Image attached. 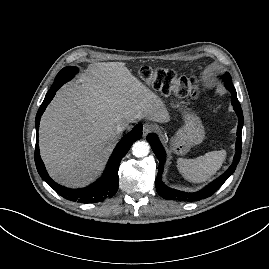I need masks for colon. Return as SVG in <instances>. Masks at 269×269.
Instances as JSON below:
<instances>
[{
  "label": "colon",
  "mask_w": 269,
  "mask_h": 269,
  "mask_svg": "<svg viewBox=\"0 0 269 269\" xmlns=\"http://www.w3.org/2000/svg\"><path fill=\"white\" fill-rule=\"evenodd\" d=\"M140 77L144 81L151 83L157 89L173 90L184 97H196L198 95V85L194 78H177L170 71L164 69H151L148 67L140 70Z\"/></svg>",
  "instance_id": "1"
}]
</instances>
